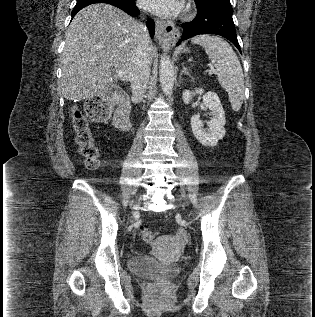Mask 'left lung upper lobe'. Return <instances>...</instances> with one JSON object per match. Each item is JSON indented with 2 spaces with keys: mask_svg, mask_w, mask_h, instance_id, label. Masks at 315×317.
<instances>
[{
  "mask_svg": "<svg viewBox=\"0 0 315 317\" xmlns=\"http://www.w3.org/2000/svg\"><path fill=\"white\" fill-rule=\"evenodd\" d=\"M199 9L233 12L230 0H194Z\"/></svg>",
  "mask_w": 315,
  "mask_h": 317,
  "instance_id": "left-lung-upper-lobe-1",
  "label": "left lung upper lobe"
}]
</instances>
